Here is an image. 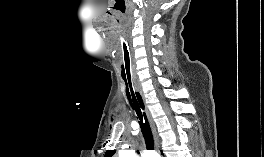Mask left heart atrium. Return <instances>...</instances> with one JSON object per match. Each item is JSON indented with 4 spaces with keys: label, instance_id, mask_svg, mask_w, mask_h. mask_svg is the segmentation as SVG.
Segmentation results:
<instances>
[{
    "label": "left heart atrium",
    "instance_id": "1",
    "mask_svg": "<svg viewBox=\"0 0 264 157\" xmlns=\"http://www.w3.org/2000/svg\"><path fill=\"white\" fill-rule=\"evenodd\" d=\"M147 157H156L154 154H151V156H147Z\"/></svg>",
    "mask_w": 264,
    "mask_h": 157
}]
</instances>
